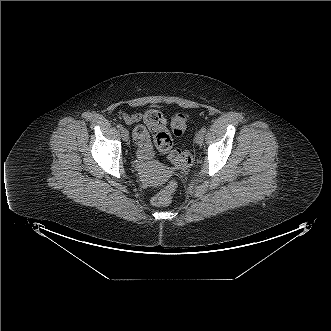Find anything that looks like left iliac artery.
I'll return each instance as SVG.
<instances>
[{
  "mask_svg": "<svg viewBox=\"0 0 331 331\" xmlns=\"http://www.w3.org/2000/svg\"><path fill=\"white\" fill-rule=\"evenodd\" d=\"M201 132H202L203 134H205V133H206V128H205V127H202V128H201Z\"/></svg>",
  "mask_w": 331,
  "mask_h": 331,
  "instance_id": "44dca946",
  "label": "left iliac artery"
}]
</instances>
